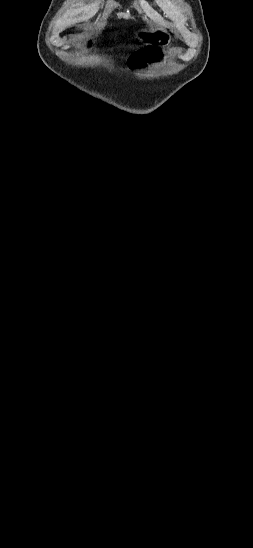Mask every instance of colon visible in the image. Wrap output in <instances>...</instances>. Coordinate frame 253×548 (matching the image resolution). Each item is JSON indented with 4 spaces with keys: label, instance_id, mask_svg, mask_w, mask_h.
<instances>
[{
    "label": "colon",
    "instance_id": "5ec220e1",
    "mask_svg": "<svg viewBox=\"0 0 253 548\" xmlns=\"http://www.w3.org/2000/svg\"><path fill=\"white\" fill-rule=\"evenodd\" d=\"M144 55H145V54L142 53V52L134 53V54L132 55V61H133L134 63H139V62L143 59ZM154 56H158V53H154Z\"/></svg>",
    "mask_w": 253,
    "mask_h": 548
}]
</instances>
